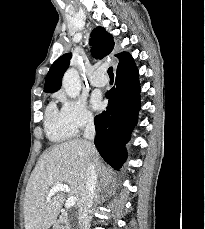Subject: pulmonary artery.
<instances>
[{"mask_svg":"<svg viewBox=\"0 0 205 229\" xmlns=\"http://www.w3.org/2000/svg\"><path fill=\"white\" fill-rule=\"evenodd\" d=\"M107 83V79L101 75L99 72H96L91 77V84L96 87H102Z\"/></svg>","mask_w":205,"mask_h":229,"instance_id":"e3ab8cb5","label":"pulmonary artery"}]
</instances>
